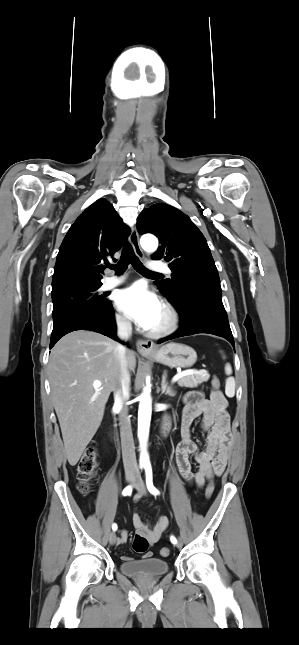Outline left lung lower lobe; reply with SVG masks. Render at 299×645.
Masks as SVG:
<instances>
[{"label":"left lung lower lobe","mask_w":299,"mask_h":645,"mask_svg":"<svg viewBox=\"0 0 299 645\" xmlns=\"http://www.w3.org/2000/svg\"><path fill=\"white\" fill-rule=\"evenodd\" d=\"M169 299L180 315V328L174 334L159 340V343L182 336L208 333L224 337L235 347L222 303L220 283L203 284L188 294Z\"/></svg>","instance_id":"0a47b994"}]
</instances>
